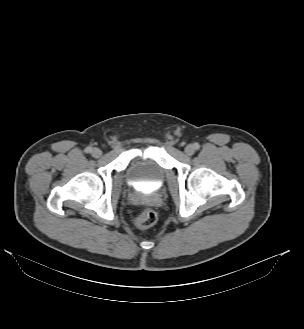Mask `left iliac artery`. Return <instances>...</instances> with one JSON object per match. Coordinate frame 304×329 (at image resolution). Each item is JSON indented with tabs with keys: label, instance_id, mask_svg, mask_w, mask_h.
<instances>
[{
	"label": "left iliac artery",
	"instance_id": "44dca946",
	"mask_svg": "<svg viewBox=\"0 0 304 329\" xmlns=\"http://www.w3.org/2000/svg\"><path fill=\"white\" fill-rule=\"evenodd\" d=\"M199 147H200V146H199V144H198V143H195V144H194V148H195L196 150H198V149H199Z\"/></svg>",
	"mask_w": 304,
	"mask_h": 329
}]
</instances>
